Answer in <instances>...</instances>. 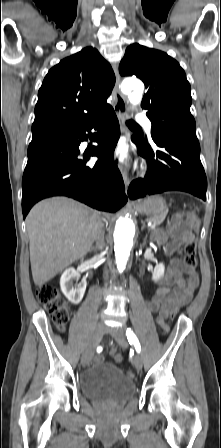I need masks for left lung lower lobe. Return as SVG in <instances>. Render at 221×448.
I'll use <instances>...</instances> for the list:
<instances>
[{"mask_svg": "<svg viewBox=\"0 0 221 448\" xmlns=\"http://www.w3.org/2000/svg\"><path fill=\"white\" fill-rule=\"evenodd\" d=\"M152 140L156 149L139 138L133 140L139 154L147 159L149 169L145 179L130 184L129 198L179 190L206 200L207 179L200 161L199 142L164 134L152 135Z\"/></svg>", "mask_w": 221, "mask_h": 448, "instance_id": "left-lung-lower-lobe-1", "label": "left lung lower lobe"}]
</instances>
